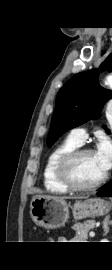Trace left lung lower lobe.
<instances>
[{
    "label": "left lung lower lobe",
    "mask_w": 112,
    "mask_h": 270,
    "mask_svg": "<svg viewBox=\"0 0 112 270\" xmlns=\"http://www.w3.org/2000/svg\"><path fill=\"white\" fill-rule=\"evenodd\" d=\"M97 195L103 197H112V181L104 185Z\"/></svg>",
    "instance_id": "1"
}]
</instances>
